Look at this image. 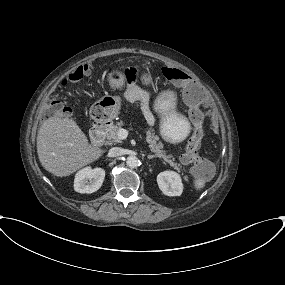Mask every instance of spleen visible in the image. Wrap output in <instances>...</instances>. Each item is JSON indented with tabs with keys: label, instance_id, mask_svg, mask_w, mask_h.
I'll return each instance as SVG.
<instances>
[{
	"label": "spleen",
	"instance_id": "obj_1",
	"mask_svg": "<svg viewBox=\"0 0 285 285\" xmlns=\"http://www.w3.org/2000/svg\"><path fill=\"white\" fill-rule=\"evenodd\" d=\"M194 187L196 190H201L205 187V181L203 179L197 178L194 180Z\"/></svg>",
	"mask_w": 285,
	"mask_h": 285
}]
</instances>
